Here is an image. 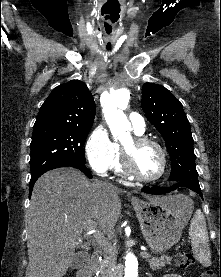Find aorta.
Returning <instances> with one entry per match:
<instances>
[{"label": "aorta", "mask_w": 221, "mask_h": 277, "mask_svg": "<svg viewBox=\"0 0 221 277\" xmlns=\"http://www.w3.org/2000/svg\"><path fill=\"white\" fill-rule=\"evenodd\" d=\"M130 92L127 89H119L112 93L103 107L105 120L114 137L122 140L129 137L131 129L123 110L126 109L130 99ZM138 258L130 248H128L125 257L124 277H138Z\"/></svg>", "instance_id": "obj_1"}]
</instances>
